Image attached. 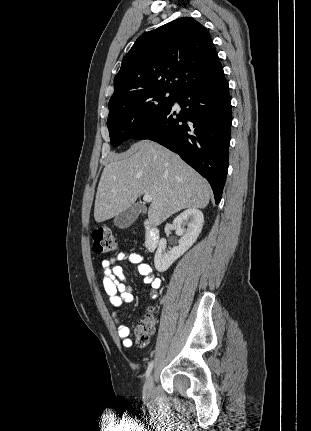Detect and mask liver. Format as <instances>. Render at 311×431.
Masks as SVG:
<instances>
[{
	"label": "liver",
	"mask_w": 311,
	"mask_h": 431,
	"mask_svg": "<svg viewBox=\"0 0 311 431\" xmlns=\"http://www.w3.org/2000/svg\"><path fill=\"white\" fill-rule=\"evenodd\" d=\"M143 194L152 198L148 219L156 227L185 208H206L211 188L178 154L141 140L105 166L96 192L95 221L119 216Z\"/></svg>",
	"instance_id": "obj_1"
}]
</instances>
